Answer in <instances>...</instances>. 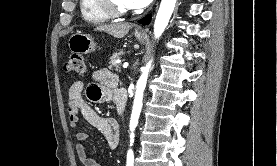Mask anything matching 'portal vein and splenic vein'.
I'll use <instances>...</instances> for the list:
<instances>
[{
  "instance_id": "1",
  "label": "portal vein and splenic vein",
  "mask_w": 277,
  "mask_h": 166,
  "mask_svg": "<svg viewBox=\"0 0 277 166\" xmlns=\"http://www.w3.org/2000/svg\"><path fill=\"white\" fill-rule=\"evenodd\" d=\"M127 67H128V63H124L123 68H127Z\"/></svg>"
}]
</instances>
